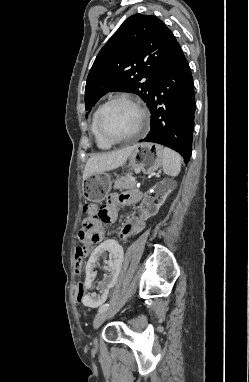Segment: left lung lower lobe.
Masks as SVG:
<instances>
[{"label": "left lung lower lobe", "instance_id": "obj_1", "mask_svg": "<svg viewBox=\"0 0 249 382\" xmlns=\"http://www.w3.org/2000/svg\"><path fill=\"white\" fill-rule=\"evenodd\" d=\"M147 106L151 130L140 142L172 148L188 163L192 152L195 97L190 67L179 44L158 77Z\"/></svg>", "mask_w": 249, "mask_h": 382}]
</instances>
